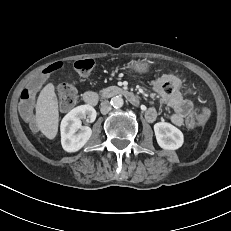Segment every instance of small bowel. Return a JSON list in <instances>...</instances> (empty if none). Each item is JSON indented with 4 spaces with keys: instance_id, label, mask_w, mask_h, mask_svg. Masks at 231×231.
<instances>
[{
    "instance_id": "c3829d8e",
    "label": "small bowel",
    "mask_w": 231,
    "mask_h": 231,
    "mask_svg": "<svg viewBox=\"0 0 231 231\" xmlns=\"http://www.w3.org/2000/svg\"><path fill=\"white\" fill-rule=\"evenodd\" d=\"M169 78H174V81L179 80L173 75H162L154 81V89L161 101L171 109L168 116L169 121L176 126H182L192 112V103L177 91L174 81H169ZM157 117L158 111L155 107H149L145 110L147 121L154 122Z\"/></svg>"
}]
</instances>
